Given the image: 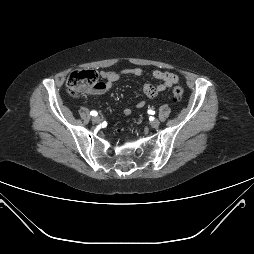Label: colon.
<instances>
[{
	"mask_svg": "<svg viewBox=\"0 0 254 254\" xmlns=\"http://www.w3.org/2000/svg\"><path fill=\"white\" fill-rule=\"evenodd\" d=\"M100 85L98 74L92 70H77L72 72L67 79V90L73 96H79L88 90ZM183 89L175 87L172 96L175 101L183 97Z\"/></svg>",
	"mask_w": 254,
	"mask_h": 254,
	"instance_id": "colon-1",
	"label": "colon"
}]
</instances>
